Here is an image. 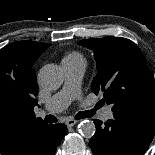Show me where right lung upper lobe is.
<instances>
[{
	"label": "right lung upper lobe",
	"mask_w": 155,
	"mask_h": 155,
	"mask_svg": "<svg viewBox=\"0 0 155 155\" xmlns=\"http://www.w3.org/2000/svg\"><path fill=\"white\" fill-rule=\"evenodd\" d=\"M50 45L17 41L0 49V99L9 115L8 125H0V155H27L36 133L48 125L35 117L38 84L32 66Z\"/></svg>",
	"instance_id": "1"
}]
</instances>
